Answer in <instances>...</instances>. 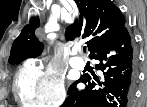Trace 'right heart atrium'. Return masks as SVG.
Masks as SVG:
<instances>
[{
	"mask_svg": "<svg viewBox=\"0 0 147 107\" xmlns=\"http://www.w3.org/2000/svg\"><path fill=\"white\" fill-rule=\"evenodd\" d=\"M16 93L22 105L33 107H56L67 96L62 74L53 66L36 61L19 70Z\"/></svg>",
	"mask_w": 147,
	"mask_h": 107,
	"instance_id": "d8ad5b80",
	"label": "right heart atrium"
}]
</instances>
